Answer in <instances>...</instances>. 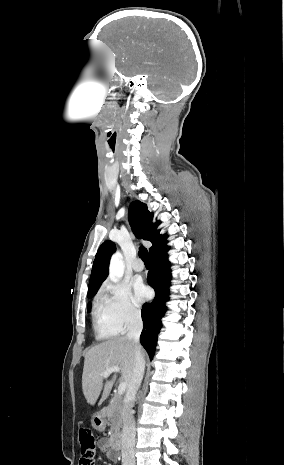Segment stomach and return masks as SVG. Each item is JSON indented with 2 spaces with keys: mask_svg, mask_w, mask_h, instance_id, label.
<instances>
[{
  "mask_svg": "<svg viewBox=\"0 0 284 465\" xmlns=\"http://www.w3.org/2000/svg\"><path fill=\"white\" fill-rule=\"evenodd\" d=\"M91 425L93 429H96V431H101V433L102 431H105L107 421L104 411H98V413H94V415H92Z\"/></svg>",
  "mask_w": 284,
  "mask_h": 465,
  "instance_id": "stomach-1",
  "label": "stomach"
}]
</instances>
